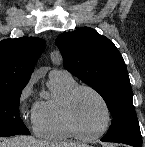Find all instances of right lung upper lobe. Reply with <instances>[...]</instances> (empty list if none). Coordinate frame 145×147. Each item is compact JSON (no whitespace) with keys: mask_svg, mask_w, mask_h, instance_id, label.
<instances>
[{"mask_svg":"<svg viewBox=\"0 0 145 147\" xmlns=\"http://www.w3.org/2000/svg\"><path fill=\"white\" fill-rule=\"evenodd\" d=\"M43 49L44 41L36 37L2 40L0 42V92L26 86Z\"/></svg>","mask_w":145,"mask_h":147,"instance_id":"1","label":"right lung upper lobe"}]
</instances>
